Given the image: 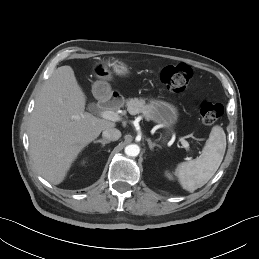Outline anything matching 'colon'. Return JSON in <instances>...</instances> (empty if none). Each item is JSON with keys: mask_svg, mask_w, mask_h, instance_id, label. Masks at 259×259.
I'll list each match as a JSON object with an SVG mask.
<instances>
[{"mask_svg": "<svg viewBox=\"0 0 259 259\" xmlns=\"http://www.w3.org/2000/svg\"><path fill=\"white\" fill-rule=\"evenodd\" d=\"M192 75V69L188 65H170L161 70L160 79L168 90L180 93L187 88ZM223 111V106L220 103L211 101H201L199 103V113L205 125L215 124L222 116Z\"/></svg>", "mask_w": 259, "mask_h": 259, "instance_id": "5ec220e1", "label": "colon"}]
</instances>
